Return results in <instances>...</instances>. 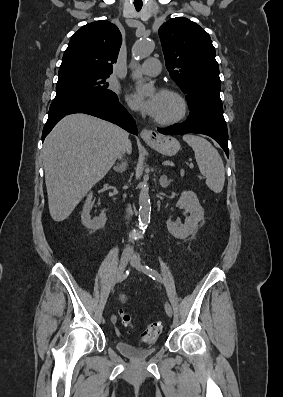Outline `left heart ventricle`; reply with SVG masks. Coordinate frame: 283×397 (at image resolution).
Here are the masks:
<instances>
[{"instance_id": "b2bd125f", "label": "left heart ventricle", "mask_w": 283, "mask_h": 397, "mask_svg": "<svg viewBox=\"0 0 283 397\" xmlns=\"http://www.w3.org/2000/svg\"><path fill=\"white\" fill-rule=\"evenodd\" d=\"M158 110L155 119H168L178 114L180 106L178 101L170 95L157 94Z\"/></svg>"}]
</instances>
